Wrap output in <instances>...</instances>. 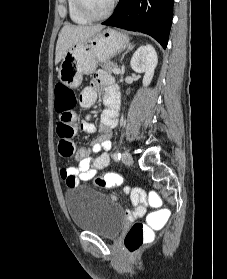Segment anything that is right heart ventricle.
<instances>
[{
    "label": "right heart ventricle",
    "instance_id": "1",
    "mask_svg": "<svg viewBox=\"0 0 227 279\" xmlns=\"http://www.w3.org/2000/svg\"><path fill=\"white\" fill-rule=\"evenodd\" d=\"M68 14L72 22L76 24H87L90 20L83 17L76 7L75 0H67Z\"/></svg>",
    "mask_w": 227,
    "mask_h": 279
}]
</instances>
